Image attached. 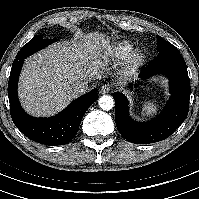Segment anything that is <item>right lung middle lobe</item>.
Instances as JSON below:
<instances>
[{
	"label": "right lung middle lobe",
	"mask_w": 199,
	"mask_h": 199,
	"mask_svg": "<svg viewBox=\"0 0 199 199\" xmlns=\"http://www.w3.org/2000/svg\"><path fill=\"white\" fill-rule=\"evenodd\" d=\"M55 40L42 39L40 36H34L27 44H25L21 50L18 52L16 59L26 58L38 50L43 49Z\"/></svg>",
	"instance_id": "1"
}]
</instances>
